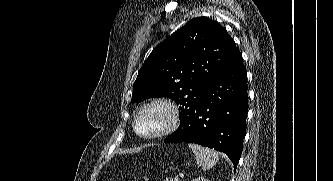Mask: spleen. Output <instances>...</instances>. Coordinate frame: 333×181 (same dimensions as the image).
<instances>
[{"label": "spleen", "mask_w": 333, "mask_h": 181, "mask_svg": "<svg viewBox=\"0 0 333 181\" xmlns=\"http://www.w3.org/2000/svg\"><path fill=\"white\" fill-rule=\"evenodd\" d=\"M188 146L194 153L197 164L202 168V170L212 168L219 161L218 155L213 150L204 148L197 144H189Z\"/></svg>", "instance_id": "spleen-1"}]
</instances>
